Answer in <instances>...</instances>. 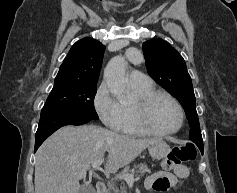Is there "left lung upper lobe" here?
Segmentation results:
<instances>
[{
  "mask_svg": "<svg viewBox=\"0 0 237 193\" xmlns=\"http://www.w3.org/2000/svg\"><path fill=\"white\" fill-rule=\"evenodd\" d=\"M149 75L182 105L189 121V138L203 148V140L196 112L192 81L182 56L166 41L151 39L142 46Z\"/></svg>",
  "mask_w": 237,
  "mask_h": 193,
  "instance_id": "left-lung-upper-lobe-1",
  "label": "left lung upper lobe"
}]
</instances>
